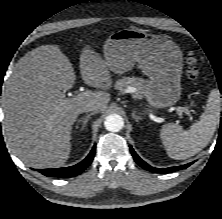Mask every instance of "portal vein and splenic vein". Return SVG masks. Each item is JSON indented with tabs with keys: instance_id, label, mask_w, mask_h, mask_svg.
Returning <instances> with one entry per match:
<instances>
[{
	"instance_id": "18ae733b",
	"label": "portal vein and splenic vein",
	"mask_w": 222,
	"mask_h": 219,
	"mask_svg": "<svg viewBox=\"0 0 222 219\" xmlns=\"http://www.w3.org/2000/svg\"><path fill=\"white\" fill-rule=\"evenodd\" d=\"M135 89L134 88H129L127 90V92H134ZM92 94V92L90 91H85V92H81L77 95V97L79 98H83V97H86V96H90ZM175 110L179 113V116L180 118H182V113H185L186 115H188L189 117L192 116L191 112L185 108V107H175Z\"/></svg>"
}]
</instances>
